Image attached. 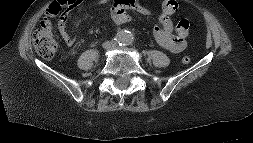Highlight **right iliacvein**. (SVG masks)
<instances>
[{
    "label": "right iliac vein",
    "instance_id": "right-iliac-vein-1",
    "mask_svg": "<svg viewBox=\"0 0 253 143\" xmlns=\"http://www.w3.org/2000/svg\"><path fill=\"white\" fill-rule=\"evenodd\" d=\"M110 46H111L110 43H104V44H103V47H104L105 49L110 48Z\"/></svg>",
    "mask_w": 253,
    "mask_h": 143
}]
</instances>
